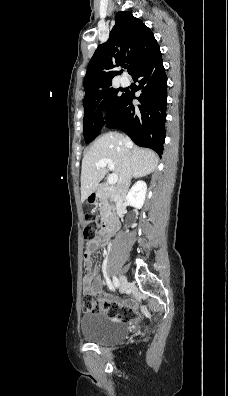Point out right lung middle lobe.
I'll return each mask as SVG.
<instances>
[{"label": "right lung middle lobe", "instance_id": "obj_1", "mask_svg": "<svg viewBox=\"0 0 228 396\" xmlns=\"http://www.w3.org/2000/svg\"><path fill=\"white\" fill-rule=\"evenodd\" d=\"M121 88L112 86L94 92L84 98L83 135L86 143L93 141L105 124L101 110L107 111L108 121L113 118L126 93H120ZM107 121V122H108Z\"/></svg>", "mask_w": 228, "mask_h": 396}]
</instances>
